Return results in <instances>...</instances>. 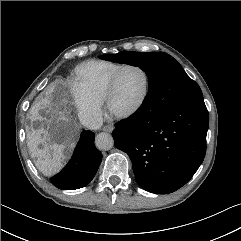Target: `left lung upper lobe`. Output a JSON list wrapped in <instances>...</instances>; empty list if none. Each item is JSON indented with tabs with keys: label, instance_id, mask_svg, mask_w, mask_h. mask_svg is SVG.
Returning a JSON list of instances; mask_svg holds the SVG:
<instances>
[{
	"label": "left lung upper lobe",
	"instance_id": "5c2ea615",
	"mask_svg": "<svg viewBox=\"0 0 241 241\" xmlns=\"http://www.w3.org/2000/svg\"><path fill=\"white\" fill-rule=\"evenodd\" d=\"M100 58L139 66L149 78V90L162 88L172 102L203 97L198 84L185 73L173 57L164 52L122 51L117 54H105Z\"/></svg>",
	"mask_w": 241,
	"mask_h": 241
}]
</instances>
